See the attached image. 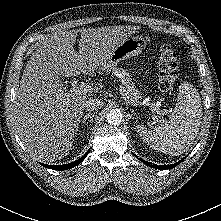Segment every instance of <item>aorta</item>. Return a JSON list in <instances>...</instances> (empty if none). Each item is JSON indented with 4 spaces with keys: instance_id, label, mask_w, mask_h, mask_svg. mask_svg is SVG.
<instances>
[{
    "instance_id": "aorta-1",
    "label": "aorta",
    "mask_w": 221,
    "mask_h": 221,
    "mask_svg": "<svg viewBox=\"0 0 221 221\" xmlns=\"http://www.w3.org/2000/svg\"><path fill=\"white\" fill-rule=\"evenodd\" d=\"M106 119L111 125H119L122 123L123 115L119 109H112L107 113Z\"/></svg>"
}]
</instances>
